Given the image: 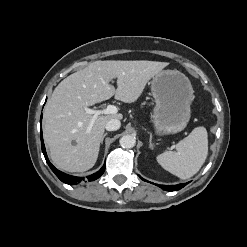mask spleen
<instances>
[{
  "instance_id": "obj_1",
  "label": "spleen",
  "mask_w": 247,
  "mask_h": 247,
  "mask_svg": "<svg viewBox=\"0 0 247 247\" xmlns=\"http://www.w3.org/2000/svg\"><path fill=\"white\" fill-rule=\"evenodd\" d=\"M208 154V134L205 127H196L183 140L176 151H167L157 156V162L171 174L187 179L195 175L204 164Z\"/></svg>"
}]
</instances>
